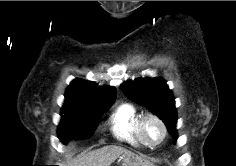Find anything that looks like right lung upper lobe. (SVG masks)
Masks as SVG:
<instances>
[{
	"label": "right lung upper lobe",
	"mask_w": 236,
	"mask_h": 166,
	"mask_svg": "<svg viewBox=\"0 0 236 166\" xmlns=\"http://www.w3.org/2000/svg\"><path fill=\"white\" fill-rule=\"evenodd\" d=\"M115 97V87H98L94 82L76 78L66 90L65 105L102 108L111 106Z\"/></svg>",
	"instance_id": "right-lung-upper-lobe-1"
}]
</instances>
